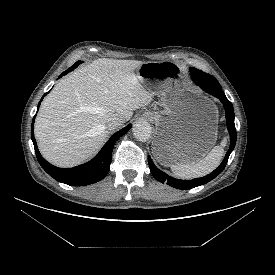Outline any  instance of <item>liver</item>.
<instances>
[{"label": "liver", "instance_id": "liver-1", "mask_svg": "<svg viewBox=\"0 0 275 275\" xmlns=\"http://www.w3.org/2000/svg\"><path fill=\"white\" fill-rule=\"evenodd\" d=\"M142 63L97 59L60 80L35 121L43 157L59 167L79 165L104 144L108 118L119 114L129 120L136 109L149 105L153 94L134 73Z\"/></svg>", "mask_w": 275, "mask_h": 275}]
</instances>
